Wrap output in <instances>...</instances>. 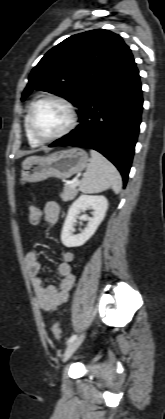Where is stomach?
<instances>
[{"mask_svg": "<svg viewBox=\"0 0 165 419\" xmlns=\"http://www.w3.org/2000/svg\"><path fill=\"white\" fill-rule=\"evenodd\" d=\"M88 154L81 148L54 152L45 157H34L22 168L24 182H39L54 177L70 178L88 165Z\"/></svg>", "mask_w": 165, "mask_h": 419, "instance_id": "stomach-1", "label": "stomach"}]
</instances>
